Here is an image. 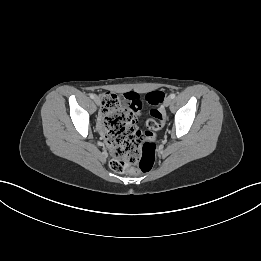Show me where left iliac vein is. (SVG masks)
Returning <instances> with one entry per match:
<instances>
[{
    "label": "left iliac vein",
    "mask_w": 261,
    "mask_h": 261,
    "mask_svg": "<svg viewBox=\"0 0 261 261\" xmlns=\"http://www.w3.org/2000/svg\"><path fill=\"white\" fill-rule=\"evenodd\" d=\"M172 100L170 97L165 98L164 100V106L168 107L171 104Z\"/></svg>",
    "instance_id": "1"
}]
</instances>
